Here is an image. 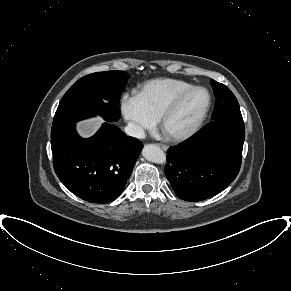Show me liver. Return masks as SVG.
Listing matches in <instances>:
<instances>
[{"mask_svg": "<svg viewBox=\"0 0 291 291\" xmlns=\"http://www.w3.org/2000/svg\"><path fill=\"white\" fill-rule=\"evenodd\" d=\"M92 123H98L96 120L86 121L79 124L80 132L84 136H90L93 133V130L91 128Z\"/></svg>", "mask_w": 291, "mask_h": 291, "instance_id": "1", "label": "liver"}]
</instances>
